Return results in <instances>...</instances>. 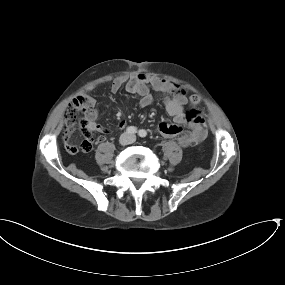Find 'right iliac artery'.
<instances>
[{"label":"right iliac artery","instance_id":"1","mask_svg":"<svg viewBox=\"0 0 285 285\" xmlns=\"http://www.w3.org/2000/svg\"><path fill=\"white\" fill-rule=\"evenodd\" d=\"M126 132L129 133V134H134L137 132V128L134 127V126H129L127 129H126Z\"/></svg>","mask_w":285,"mask_h":285}]
</instances>
